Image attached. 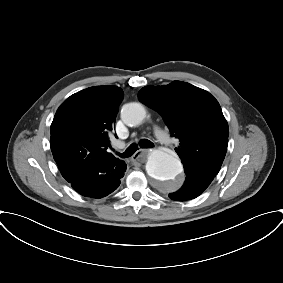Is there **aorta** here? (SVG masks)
I'll list each match as a JSON object with an SVG mask.
<instances>
[{"label":"aorta","mask_w":283,"mask_h":283,"mask_svg":"<svg viewBox=\"0 0 283 283\" xmlns=\"http://www.w3.org/2000/svg\"><path fill=\"white\" fill-rule=\"evenodd\" d=\"M146 117V109L140 103H129L123 106L121 118L128 126H137ZM148 175L156 180L161 188L166 191H175L181 184L179 178L183 171L180 160L173 154L156 149L150 152L146 163Z\"/></svg>","instance_id":"1"}]
</instances>
